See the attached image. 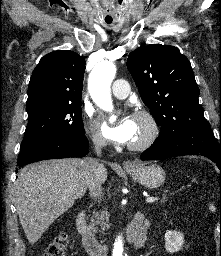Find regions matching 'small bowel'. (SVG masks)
<instances>
[{"label":"small bowel","instance_id":"c3829d8e","mask_svg":"<svg viewBox=\"0 0 221 256\" xmlns=\"http://www.w3.org/2000/svg\"><path fill=\"white\" fill-rule=\"evenodd\" d=\"M142 240H143V237H142L141 240H139V241L137 242V244H138V245H141V244H142Z\"/></svg>","mask_w":221,"mask_h":256}]
</instances>
